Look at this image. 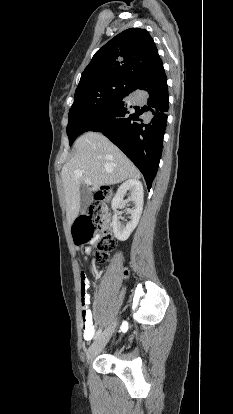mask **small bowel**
<instances>
[{
	"label": "small bowel",
	"mask_w": 233,
	"mask_h": 414,
	"mask_svg": "<svg viewBox=\"0 0 233 414\" xmlns=\"http://www.w3.org/2000/svg\"><path fill=\"white\" fill-rule=\"evenodd\" d=\"M85 252L88 253L89 249H85ZM79 277L81 278L80 281V289H81V322H82V332L83 338L86 341H89L93 338L95 334V327L93 325V315L89 308L91 298L90 295L87 293V290L92 289V284L89 283V275L87 274L86 270L79 271Z\"/></svg>",
	"instance_id": "1"
}]
</instances>
